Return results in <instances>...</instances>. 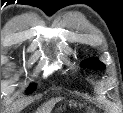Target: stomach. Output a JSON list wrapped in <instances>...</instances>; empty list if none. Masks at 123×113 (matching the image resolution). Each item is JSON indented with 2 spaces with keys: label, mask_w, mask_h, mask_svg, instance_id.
Returning a JSON list of instances; mask_svg holds the SVG:
<instances>
[{
  "label": "stomach",
  "mask_w": 123,
  "mask_h": 113,
  "mask_svg": "<svg viewBox=\"0 0 123 113\" xmlns=\"http://www.w3.org/2000/svg\"><path fill=\"white\" fill-rule=\"evenodd\" d=\"M68 107H70V108H75V107H77V102L76 101H70L69 103H68ZM62 106H60V107H58L57 109H58V112H60L61 110H62Z\"/></svg>",
  "instance_id": "0dacf381"
}]
</instances>
